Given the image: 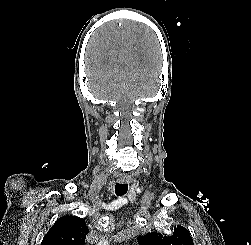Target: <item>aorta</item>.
<instances>
[{
  "label": "aorta",
  "instance_id": "aorta-1",
  "mask_svg": "<svg viewBox=\"0 0 251 245\" xmlns=\"http://www.w3.org/2000/svg\"><path fill=\"white\" fill-rule=\"evenodd\" d=\"M98 245H108L107 241H103L101 243H99Z\"/></svg>",
  "mask_w": 251,
  "mask_h": 245
}]
</instances>
